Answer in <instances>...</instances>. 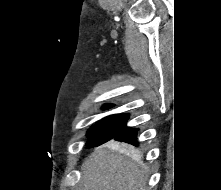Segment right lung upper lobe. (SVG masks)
I'll return each mask as SVG.
<instances>
[{
    "label": "right lung upper lobe",
    "mask_w": 221,
    "mask_h": 190,
    "mask_svg": "<svg viewBox=\"0 0 221 190\" xmlns=\"http://www.w3.org/2000/svg\"><path fill=\"white\" fill-rule=\"evenodd\" d=\"M105 106H113V104H106Z\"/></svg>",
    "instance_id": "cb5924a9"
}]
</instances>
